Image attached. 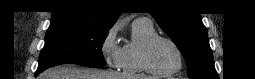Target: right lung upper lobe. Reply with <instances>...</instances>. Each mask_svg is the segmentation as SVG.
<instances>
[{
  "label": "right lung upper lobe",
  "mask_w": 255,
  "mask_h": 79,
  "mask_svg": "<svg viewBox=\"0 0 255 79\" xmlns=\"http://www.w3.org/2000/svg\"><path fill=\"white\" fill-rule=\"evenodd\" d=\"M52 13L51 24L65 23L110 29L119 12L106 11L109 6L100 0H67Z\"/></svg>",
  "instance_id": "right-lung-upper-lobe-1"
}]
</instances>
